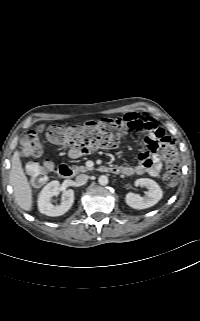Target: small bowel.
<instances>
[{"mask_svg": "<svg viewBox=\"0 0 200 321\" xmlns=\"http://www.w3.org/2000/svg\"><path fill=\"white\" fill-rule=\"evenodd\" d=\"M132 126L133 130L146 131L145 138L146 150L138 156V162L134 166H117L119 173L127 176L148 174L157 176L162 169V161L165 152L171 148L172 140L163 128L146 113L129 112L120 117Z\"/></svg>", "mask_w": 200, "mask_h": 321, "instance_id": "obj_1", "label": "small bowel"}]
</instances>
